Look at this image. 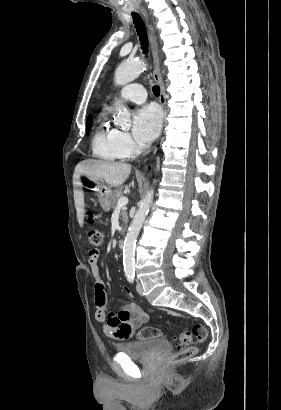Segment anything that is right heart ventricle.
Returning a JSON list of instances; mask_svg holds the SVG:
<instances>
[{"mask_svg":"<svg viewBox=\"0 0 281 410\" xmlns=\"http://www.w3.org/2000/svg\"><path fill=\"white\" fill-rule=\"evenodd\" d=\"M92 152L104 161L123 160L125 155L119 143V131L111 127L106 112H102L92 135Z\"/></svg>","mask_w":281,"mask_h":410,"instance_id":"e07e8e85","label":"right heart ventricle"}]
</instances>
